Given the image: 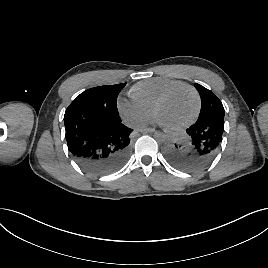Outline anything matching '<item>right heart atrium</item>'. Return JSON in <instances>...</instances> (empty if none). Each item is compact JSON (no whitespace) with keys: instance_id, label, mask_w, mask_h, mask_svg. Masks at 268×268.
<instances>
[{"instance_id":"right-heart-atrium-1","label":"right heart atrium","mask_w":268,"mask_h":268,"mask_svg":"<svg viewBox=\"0 0 268 268\" xmlns=\"http://www.w3.org/2000/svg\"><path fill=\"white\" fill-rule=\"evenodd\" d=\"M120 114L131 124L137 126L145 125L152 118V111L141 104L120 98L117 102Z\"/></svg>"}]
</instances>
